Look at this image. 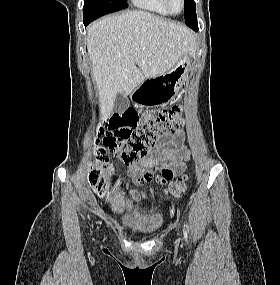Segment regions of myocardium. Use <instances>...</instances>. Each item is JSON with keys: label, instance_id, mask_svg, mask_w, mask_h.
Returning a JSON list of instances; mask_svg holds the SVG:
<instances>
[{"label": "myocardium", "instance_id": "myocardium-1", "mask_svg": "<svg viewBox=\"0 0 280 285\" xmlns=\"http://www.w3.org/2000/svg\"><path fill=\"white\" fill-rule=\"evenodd\" d=\"M167 9L169 10V12L171 14H174V15H177V14H180L184 9H185V6H186V1L185 0H181V9L177 12L173 11L172 8H171V5H170V0H163Z\"/></svg>", "mask_w": 280, "mask_h": 285}]
</instances>
